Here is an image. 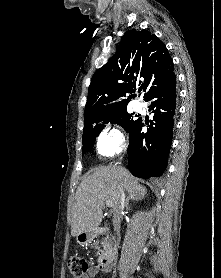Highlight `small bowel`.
I'll use <instances>...</instances> for the list:
<instances>
[{
	"label": "small bowel",
	"instance_id": "obj_1",
	"mask_svg": "<svg viewBox=\"0 0 221 278\" xmlns=\"http://www.w3.org/2000/svg\"><path fill=\"white\" fill-rule=\"evenodd\" d=\"M100 272L99 267L96 266H92L88 272V275L86 278H94L98 275V273Z\"/></svg>",
	"mask_w": 221,
	"mask_h": 278
}]
</instances>
